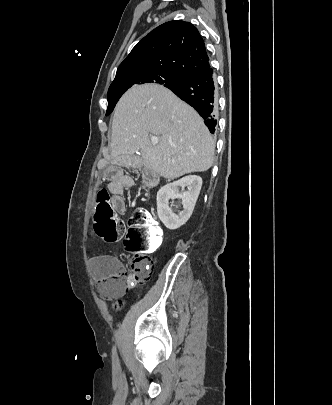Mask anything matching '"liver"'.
Masks as SVG:
<instances>
[{"label":"liver","instance_id":"6515ba94","mask_svg":"<svg viewBox=\"0 0 332 405\" xmlns=\"http://www.w3.org/2000/svg\"><path fill=\"white\" fill-rule=\"evenodd\" d=\"M159 138L153 144L151 137ZM112 163L132 166L141 151L142 164L167 179L207 171L214 162L215 143L200 115L169 89L134 86L114 110Z\"/></svg>","mask_w":332,"mask_h":405}]
</instances>
